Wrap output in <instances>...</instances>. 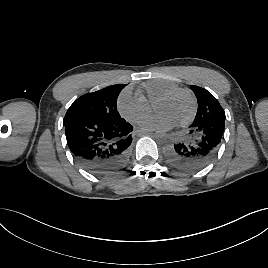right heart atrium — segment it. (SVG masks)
Wrapping results in <instances>:
<instances>
[{
    "label": "right heart atrium",
    "mask_w": 268,
    "mask_h": 268,
    "mask_svg": "<svg viewBox=\"0 0 268 268\" xmlns=\"http://www.w3.org/2000/svg\"><path fill=\"white\" fill-rule=\"evenodd\" d=\"M117 108L120 114L131 122L145 120L151 113L148 103L129 89L120 93Z\"/></svg>",
    "instance_id": "1"
}]
</instances>
